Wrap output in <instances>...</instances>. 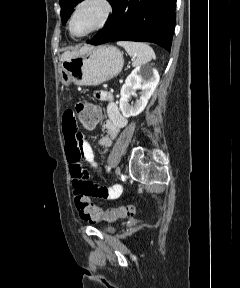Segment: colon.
Segmentation results:
<instances>
[{
	"label": "colon",
	"mask_w": 240,
	"mask_h": 288,
	"mask_svg": "<svg viewBox=\"0 0 240 288\" xmlns=\"http://www.w3.org/2000/svg\"><path fill=\"white\" fill-rule=\"evenodd\" d=\"M75 114L85 128H93L101 118V109L97 104L79 100L75 104ZM74 200L81 218L89 222L107 221L113 222L121 217H128L133 214L134 208L131 205H123L117 208L102 210L92 203L89 197L75 191Z\"/></svg>",
	"instance_id": "obj_1"
}]
</instances>
